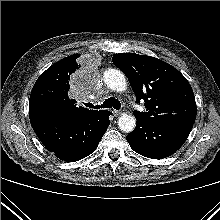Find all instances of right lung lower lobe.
Here are the masks:
<instances>
[{
	"mask_svg": "<svg viewBox=\"0 0 220 220\" xmlns=\"http://www.w3.org/2000/svg\"><path fill=\"white\" fill-rule=\"evenodd\" d=\"M110 112L96 111L79 118L50 113L30 116L33 130L48 151L66 162H75L95 151L109 126Z\"/></svg>",
	"mask_w": 220,
	"mask_h": 220,
	"instance_id": "1",
	"label": "right lung lower lobe"
}]
</instances>
